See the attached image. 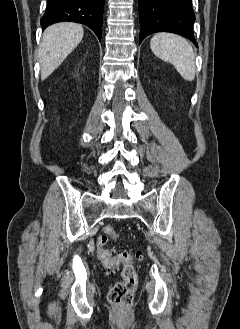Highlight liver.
<instances>
[{
    "mask_svg": "<svg viewBox=\"0 0 240 329\" xmlns=\"http://www.w3.org/2000/svg\"><path fill=\"white\" fill-rule=\"evenodd\" d=\"M83 34L81 25L69 22L54 24L44 31L38 52L42 81L79 45Z\"/></svg>",
    "mask_w": 240,
    "mask_h": 329,
    "instance_id": "obj_1",
    "label": "liver"
}]
</instances>
